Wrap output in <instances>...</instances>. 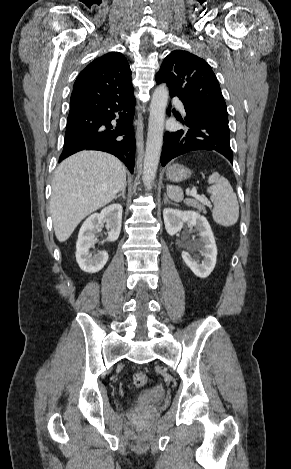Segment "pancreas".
I'll list each match as a JSON object with an SVG mask.
<instances>
[{"mask_svg":"<svg viewBox=\"0 0 291 469\" xmlns=\"http://www.w3.org/2000/svg\"><path fill=\"white\" fill-rule=\"evenodd\" d=\"M184 203L188 206H191V207H194V208L198 209L201 212L206 211L205 206L203 204H200L199 201H197L195 199H191V198L185 199Z\"/></svg>","mask_w":291,"mask_h":469,"instance_id":"obj_1","label":"pancreas"}]
</instances>
